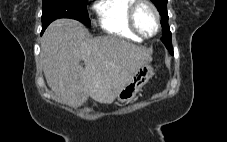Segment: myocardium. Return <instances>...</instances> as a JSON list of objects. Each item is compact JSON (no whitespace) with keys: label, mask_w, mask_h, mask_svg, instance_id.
Wrapping results in <instances>:
<instances>
[{"label":"myocardium","mask_w":227,"mask_h":142,"mask_svg":"<svg viewBox=\"0 0 227 142\" xmlns=\"http://www.w3.org/2000/svg\"><path fill=\"white\" fill-rule=\"evenodd\" d=\"M142 6H147L149 7L154 15H155V20H156V29L155 31L150 34V35H147V34H144L140 28L138 27V24H137V20H136V17H137V12L138 10L142 7ZM127 16H128V24H129V27L130 29L136 34L138 35L140 38H143V39H149V38H153L154 36H156L159 31H160V28H161V17H160V13L157 9V7L149 0H134V2L130 5L129 9H128V13H127Z\"/></svg>","instance_id":"myocardium-1"}]
</instances>
